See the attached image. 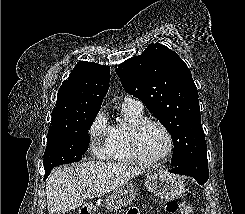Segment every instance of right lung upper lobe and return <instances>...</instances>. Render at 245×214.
<instances>
[{"label":"right lung upper lobe","instance_id":"1","mask_svg":"<svg viewBox=\"0 0 245 214\" xmlns=\"http://www.w3.org/2000/svg\"><path fill=\"white\" fill-rule=\"evenodd\" d=\"M109 79V66L78 62L58 90L48 135L72 127L83 114L99 112Z\"/></svg>","mask_w":245,"mask_h":214}]
</instances>
